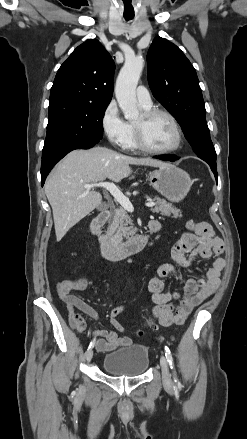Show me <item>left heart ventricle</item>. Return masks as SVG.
<instances>
[{"label": "left heart ventricle", "mask_w": 247, "mask_h": 439, "mask_svg": "<svg viewBox=\"0 0 247 439\" xmlns=\"http://www.w3.org/2000/svg\"><path fill=\"white\" fill-rule=\"evenodd\" d=\"M135 124H143L145 140L156 149H166L174 145L176 132L172 122L165 116L158 115L144 121L141 115Z\"/></svg>", "instance_id": "1"}]
</instances>
